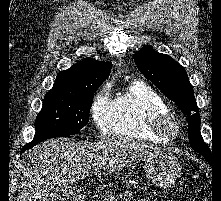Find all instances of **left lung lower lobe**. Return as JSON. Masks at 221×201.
Listing matches in <instances>:
<instances>
[{"mask_svg":"<svg viewBox=\"0 0 221 201\" xmlns=\"http://www.w3.org/2000/svg\"><path fill=\"white\" fill-rule=\"evenodd\" d=\"M209 163H211V158H206Z\"/></svg>","mask_w":221,"mask_h":201,"instance_id":"0a47b994","label":"left lung lower lobe"}]
</instances>
